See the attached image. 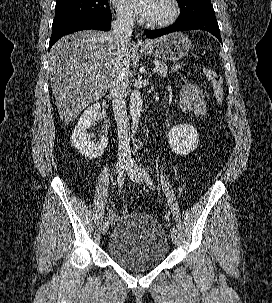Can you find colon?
Returning a JSON list of instances; mask_svg holds the SVG:
<instances>
[{
  "instance_id": "colon-1",
  "label": "colon",
  "mask_w": 272,
  "mask_h": 303,
  "mask_svg": "<svg viewBox=\"0 0 272 303\" xmlns=\"http://www.w3.org/2000/svg\"><path fill=\"white\" fill-rule=\"evenodd\" d=\"M186 69V63L184 61H175L171 65V72L174 74H179L183 72ZM201 73L207 77L213 84V91H214V97L218 104H221L224 100V87H223V80L221 77L213 70L211 69H203ZM128 208L123 207L122 213H127Z\"/></svg>"
}]
</instances>
